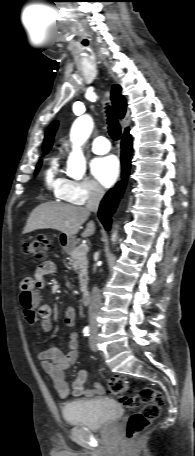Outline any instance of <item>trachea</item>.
I'll return each mask as SVG.
<instances>
[{
	"mask_svg": "<svg viewBox=\"0 0 195 456\" xmlns=\"http://www.w3.org/2000/svg\"><path fill=\"white\" fill-rule=\"evenodd\" d=\"M107 110H106V113H107V123H108V132H109V135L111 136V138L113 140H118L121 136V128H120V125L118 123V120L116 119V117L114 116L110 106H107L106 107Z\"/></svg>",
	"mask_w": 195,
	"mask_h": 456,
	"instance_id": "trachea-1",
	"label": "trachea"
}]
</instances>
